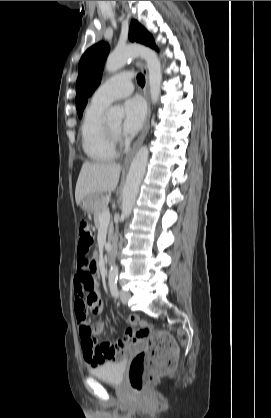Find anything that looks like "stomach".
Segmentation results:
<instances>
[{"label": "stomach", "mask_w": 271, "mask_h": 418, "mask_svg": "<svg viewBox=\"0 0 271 418\" xmlns=\"http://www.w3.org/2000/svg\"><path fill=\"white\" fill-rule=\"evenodd\" d=\"M101 197V194L89 195L81 200L79 206L86 214H92L98 207Z\"/></svg>", "instance_id": "stomach-1"}]
</instances>
